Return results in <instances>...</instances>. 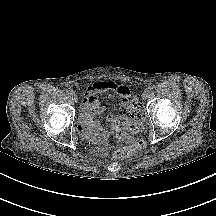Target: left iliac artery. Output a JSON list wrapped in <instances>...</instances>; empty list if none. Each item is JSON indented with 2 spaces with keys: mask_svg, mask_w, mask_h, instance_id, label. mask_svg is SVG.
Segmentation results:
<instances>
[{
  "mask_svg": "<svg viewBox=\"0 0 216 216\" xmlns=\"http://www.w3.org/2000/svg\"><path fill=\"white\" fill-rule=\"evenodd\" d=\"M147 89H148L149 92H151V91L154 89V87H153V86H150V87H148Z\"/></svg>",
  "mask_w": 216,
  "mask_h": 216,
  "instance_id": "44dca946",
  "label": "left iliac artery"
}]
</instances>
